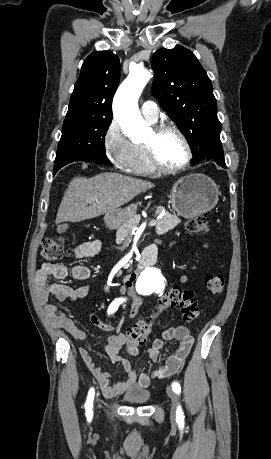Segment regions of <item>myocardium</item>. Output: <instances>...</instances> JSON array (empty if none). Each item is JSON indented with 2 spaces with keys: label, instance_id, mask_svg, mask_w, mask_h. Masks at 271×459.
I'll return each mask as SVG.
<instances>
[{
  "label": "myocardium",
  "instance_id": "myocardium-1",
  "mask_svg": "<svg viewBox=\"0 0 271 459\" xmlns=\"http://www.w3.org/2000/svg\"><path fill=\"white\" fill-rule=\"evenodd\" d=\"M169 131L176 132L182 138V140L184 141V143L186 145L187 156H186L185 160L183 162L179 163V164H174V165L166 164L161 159V157L159 155V152H158L156 141L163 134H165L166 132H169ZM153 135H154V141H152V142L146 141L145 145H146V148L148 150V154H149L154 166L158 170L163 171V172H178V171L184 170L185 168L190 166V164L192 163V161L194 159L193 146H192L191 141H190L189 137L187 136V134L178 125H176L174 123H162V124L156 126L153 129Z\"/></svg>",
  "mask_w": 271,
  "mask_h": 459
}]
</instances>
